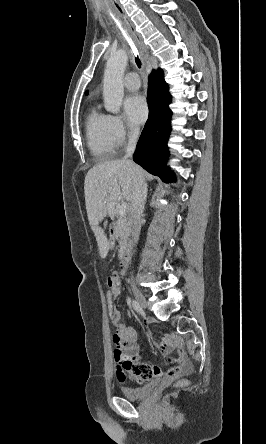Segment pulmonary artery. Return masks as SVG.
<instances>
[{"mask_svg": "<svg viewBox=\"0 0 266 444\" xmlns=\"http://www.w3.org/2000/svg\"><path fill=\"white\" fill-rule=\"evenodd\" d=\"M124 86L130 90H136L140 87V80L136 73L131 72L126 74L123 79Z\"/></svg>", "mask_w": 266, "mask_h": 444, "instance_id": "1", "label": "pulmonary artery"}]
</instances>
